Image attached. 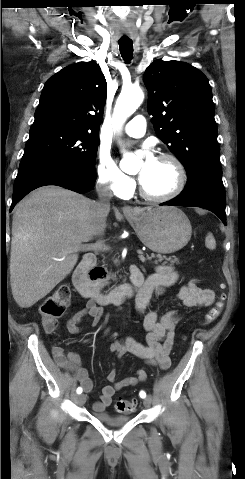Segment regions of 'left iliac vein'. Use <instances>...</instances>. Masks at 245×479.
I'll list each match as a JSON object with an SVG mask.
<instances>
[{"mask_svg": "<svg viewBox=\"0 0 245 479\" xmlns=\"http://www.w3.org/2000/svg\"><path fill=\"white\" fill-rule=\"evenodd\" d=\"M143 404L145 407H149L151 405V399L149 397L145 398Z\"/></svg>", "mask_w": 245, "mask_h": 479, "instance_id": "left-iliac-vein-1", "label": "left iliac vein"}]
</instances>
